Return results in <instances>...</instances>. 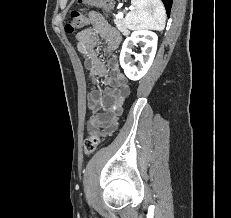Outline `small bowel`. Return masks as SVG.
<instances>
[{"label": "small bowel", "instance_id": "small-bowel-1", "mask_svg": "<svg viewBox=\"0 0 231 218\" xmlns=\"http://www.w3.org/2000/svg\"><path fill=\"white\" fill-rule=\"evenodd\" d=\"M88 21L89 27L76 34L77 48L84 57V65L91 73L92 82L96 84L101 80L105 85L104 88L93 89L87 96V105L92 112L88 129H101L102 136H109L118 127L124 103L130 93L116 56L121 36L99 12L91 11ZM99 38L104 42L107 61L100 55Z\"/></svg>", "mask_w": 231, "mask_h": 218}]
</instances>
